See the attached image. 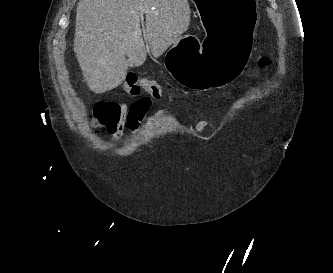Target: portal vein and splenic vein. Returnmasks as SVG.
Wrapping results in <instances>:
<instances>
[{"label": "portal vein and splenic vein", "instance_id": "1", "mask_svg": "<svg viewBox=\"0 0 333 273\" xmlns=\"http://www.w3.org/2000/svg\"><path fill=\"white\" fill-rule=\"evenodd\" d=\"M152 10H155V8H152ZM145 10H141V13H143Z\"/></svg>", "mask_w": 333, "mask_h": 273}]
</instances>
